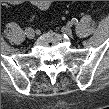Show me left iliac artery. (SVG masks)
Here are the masks:
<instances>
[{"instance_id":"44dca946","label":"left iliac artery","mask_w":109,"mask_h":109,"mask_svg":"<svg viewBox=\"0 0 109 109\" xmlns=\"http://www.w3.org/2000/svg\"><path fill=\"white\" fill-rule=\"evenodd\" d=\"M70 23H71L72 25H76V24L78 23V20H77L76 18H73V19L70 21Z\"/></svg>"}]
</instances>
